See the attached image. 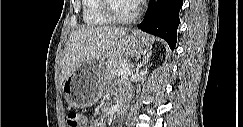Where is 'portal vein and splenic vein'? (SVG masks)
Wrapping results in <instances>:
<instances>
[{"label": "portal vein and splenic vein", "mask_w": 243, "mask_h": 127, "mask_svg": "<svg viewBox=\"0 0 243 127\" xmlns=\"http://www.w3.org/2000/svg\"><path fill=\"white\" fill-rule=\"evenodd\" d=\"M132 70L130 68H124L119 71L120 75H130L132 74Z\"/></svg>", "instance_id": "portal-vein-and-splenic-vein-1"}]
</instances>
